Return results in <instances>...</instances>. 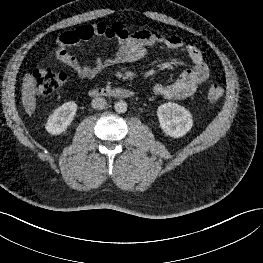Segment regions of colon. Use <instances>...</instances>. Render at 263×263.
<instances>
[{"label": "colon", "mask_w": 263, "mask_h": 263, "mask_svg": "<svg viewBox=\"0 0 263 263\" xmlns=\"http://www.w3.org/2000/svg\"><path fill=\"white\" fill-rule=\"evenodd\" d=\"M34 90L38 95L48 96L54 93L67 79L65 73H56L49 68H36L32 72ZM224 94L223 87L212 83L207 89V98L210 101L219 100Z\"/></svg>", "instance_id": "obj_1"}]
</instances>
